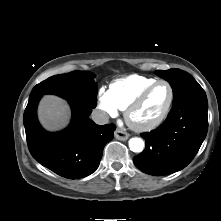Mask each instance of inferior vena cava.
<instances>
[{
    "instance_id": "602c4592",
    "label": "inferior vena cava",
    "mask_w": 221,
    "mask_h": 221,
    "mask_svg": "<svg viewBox=\"0 0 221 221\" xmlns=\"http://www.w3.org/2000/svg\"><path fill=\"white\" fill-rule=\"evenodd\" d=\"M91 117L92 120L98 125H104L109 122V115L100 110H94Z\"/></svg>"
}]
</instances>
